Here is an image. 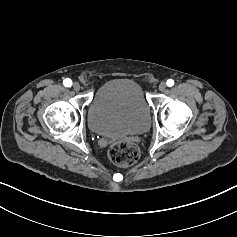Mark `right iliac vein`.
Wrapping results in <instances>:
<instances>
[{"instance_id":"obj_1","label":"right iliac vein","mask_w":237,"mask_h":237,"mask_svg":"<svg viewBox=\"0 0 237 237\" xmlns=\"http://www.w3.org/2000/svg\"><path fill=\"white\" fill-rule=\"evenodd\" d=\"M73 89H74V91H79L80 90V85H79V83H77V82H75L74 84H73Z\"/></svg>"}]
</instances>
